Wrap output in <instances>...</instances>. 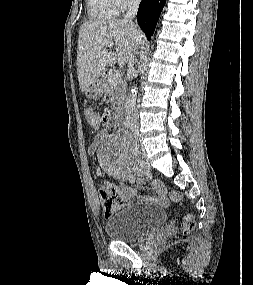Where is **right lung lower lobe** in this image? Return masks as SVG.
I'll return each instance as SVG.
<instances>
[{
    "label": "right lung lower lobe",
    "mask_w": 253,
    "mask_h": 285,
    "mask_svg": "<svg viewBox=\"0 0 253 285\" xmlns=\"http://www.w3.org/2000/svg\"><path fill=\"white\" fill-rule=\"evenodd\" d=\"M165 2L166 0H143L140 3L137 13V21L141 29L146 34L148 40H150L151 35L154 32Z\"/></svg>",
    "instance_id": "obj_1"
}]
</instances>
